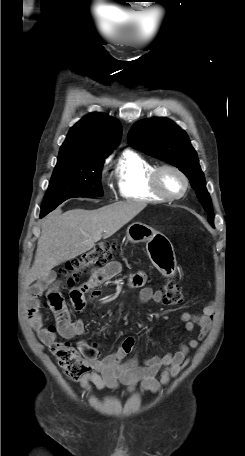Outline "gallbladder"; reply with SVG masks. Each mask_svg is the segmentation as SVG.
<instances>
[{"mask_svg":"<svg viewBox=\"0 0 245 456\" xmlns=\"http://www.w3.org/2000/svg\"><path fill=\"white\" fill-rule=\"evenodd\" d=\"M56 278V272L52 271L49 273L48 277H47V280L48 281H41L40 280V285L43 287V288H46L49 284V282H53Z\"/></svg>","mask_w":245,"mask_h":456,"instance_id":"gallbladder-1","label":"gallbladder"}]
</instances>
